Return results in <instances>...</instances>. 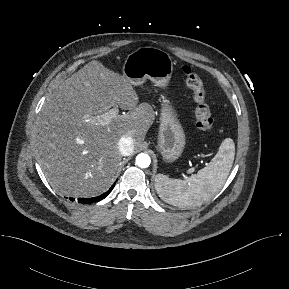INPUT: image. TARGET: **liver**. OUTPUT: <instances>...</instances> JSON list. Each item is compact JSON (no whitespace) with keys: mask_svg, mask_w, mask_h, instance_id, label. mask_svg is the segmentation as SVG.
Here are the masks:
<instances>
[{"mask_svg":"<svg viewBox=\"0 0 289 289\" xmlns=\"http://www.w3.org/2000/svg\"><path fill=\"white\" fill-rule=\"evenodd\" d=\"M115 105L128 113L106 125L94 123ZM153 120L151 106L139 104L130 81L93 60L46 98L33 136L36 157L55 191L94 197L114 181L122 159L120 138L130 136L139 146Z\"/></svg>","mask_w":289,"mask_h":289,"instance_id":"liver-1","label":"liver"}]
</instances>
